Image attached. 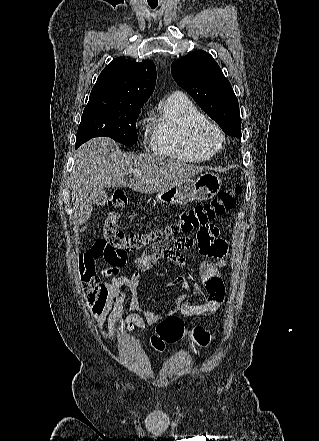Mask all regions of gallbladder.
I'll use <instances>...</instances> for the list:
<instances>
[{"instance_id":"obj_1","label":"gallbladder","mask_w":319,"mask_h":441,"mask_svg":"<svg viewBox=\"0 0 319 441\" xmlns=\"http://www.w3.org/2000/svg\"><path fill=\"white\" fill-rule=\"evenodd\" d=\"M107 197H108L107 192L104 190H101L95 198V204H97V205L105 204Z\"/></svg>"}]
</instances>
